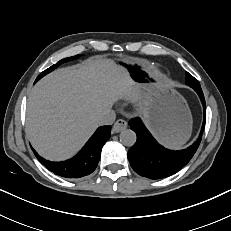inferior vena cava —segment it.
<instances>
[{
  "label": "inferior vena cava",
  "mask_w": 231,
  "mask_h": 231,
  "mask_svg": "<svg viewBox=\"0 0 231 231\" xmlns=\"http://www.w3.org/2000/svg\"><path fill=\"white\" fill-rule=\"evenodd\" d=\"M116 114L113 110L107 111L103 116L100 117L98 124L99 125H111L114 123Z\"/></svg>",
  "instance_id": "inferior-vena-cava-1"
}]
</instances>
